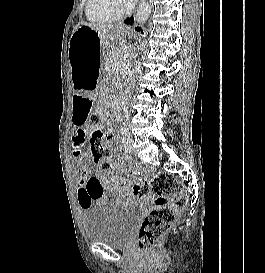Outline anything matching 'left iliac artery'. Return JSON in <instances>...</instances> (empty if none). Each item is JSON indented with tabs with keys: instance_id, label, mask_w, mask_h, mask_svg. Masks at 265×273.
<instances>
[{
	"instance_id": "44dca946",
	"label": "left iliac artery",
	"mask_w": 265,
	"mask_h": 273,
	"mask_svg": "<svg viewBox=\"0 0 265 273\" xmlns=\"http://www.w3.org/2000/svg\"><path fill=\"white\" fill-rule=\"evenodd\" d=\"M120 131L122 135H125V136L128 135V129L126 127H121Z\"/></svg>"
}]
</instances>
